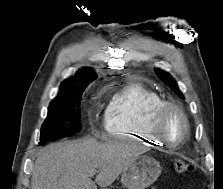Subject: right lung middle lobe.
<instances>
[{
  "instance_id": "1",
  "label": "right lung middle lobe",
  "mask_w": 223,
  "mask_h": 189,
  "mask_svg": "<svg viewBox=\"0 0 223 189\" xmlns=\"http://www.w3.org/2000/svg\"><path fill=\"white\" fill-rule=\"evenodd\" d=\"M83 91L69 96L56 97L48 108V116L41 127L39 145L80 132V102Z\"/></svg>"
}]
</instances>
